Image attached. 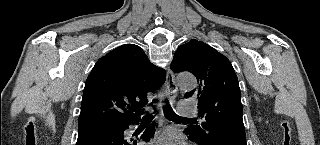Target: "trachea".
Wrapping results in <instances>:
<instances>
[{"label":"trachea","mask_w":320,"mask_h":145,"mask_svg":"<svg viewBox=\"0 0 320 145\" xmlns=\"http://www.w3.org/2000/svg\"><path fill=\"white\" fill-rule=\"evenodd\" d=\"M163 110H164V115L166 118L168 119H171V120H181V119H190V118H185V117H180L178 116L174 111L173 109L171 108V106L169 104H166L164 107H163ZM154 118L153 115H150V114H146L143 118H142V121H152Z\"/></svg>","instance_id":"1"}]
</instances>
